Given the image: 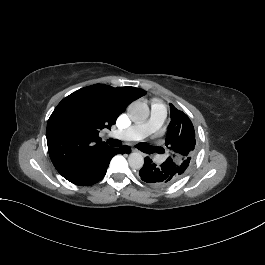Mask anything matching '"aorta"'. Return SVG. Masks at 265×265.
I'll return each mask as SVG.
<instances>
[{"label": "aorta", "instance_id": "762f6f07", "mask_svg": "<svg viewBox=\"0 0 265 265\" xmlns=\"http://www.w3.org/2000/svg\"><path fill=\"white\" fill-rule=\"evenodd\" d=\"M131 118L136 122H144L149 117V107L147 104L134 101L128 107ZM128 163L132 169H141L144 165V158L141 153L133 152L128 157Z\"/></svg>", "mask_w": 265, "mask_h": 265}]
</instances>
